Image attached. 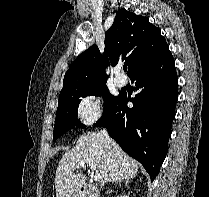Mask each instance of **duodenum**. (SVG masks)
Here are the masks:
<instances>
[{"label": "duodenum", "mask_w": 209, "mask_h": 197, "mask_svg": "<svg viewBox=\"0 0 209 197\" xmlns=\"http://www.w3.org/2000/svg\"><path fill=\"white\" fill-rule=\"evenodd\" d=\"M80 195L82 197H98L97 190L88 184H84L80 187Z\"/></svg>", "instance_id": "duodenum-1"}]
</instances>
